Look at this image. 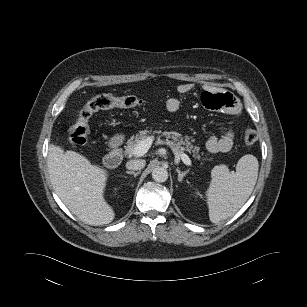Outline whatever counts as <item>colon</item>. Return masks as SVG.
<instances>
[{"mask_svg":"<svg viewBox=\"0 0 307 307\" xmlns=\"http://www.w3.org/2000/svg\"><path fill=\"white\" fill-rule=\"evenodd\" d=\"M141 104L142 100L135 95L114 96L110 93H99L93 96L84 104L76 121L69 127V142L73 146H81L87 142L88 122L94 113L112 108H134ZM257 138V133L253 129H247L244 133V141L247 145L255 144Z\"/></svg>","mask_w":307,"mask_h":307,"instance_id":"obj_1","label":"colon"}]
</instances>
